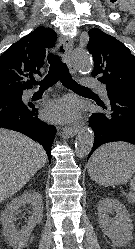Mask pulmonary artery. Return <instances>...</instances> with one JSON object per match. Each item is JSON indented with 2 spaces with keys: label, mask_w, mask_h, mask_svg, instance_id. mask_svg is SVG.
I'll list each match as a JSON object with an SVG mask.
<instances>
[{
  "label": "pulmonary artery",
  "mask_w": 135,
  "mask_h": 249,
  "mask_svg": "<svg viewBox=\"0 0 135 249\" xmlns=\"http://www.w3.org/2000/svg\"><path fill=\"white\" fill-rule=\"evenodd\" d=\"M84 85L87 86V87H93V88H97L101 95L107 99V91L106 89L104 88V86L102 84H100L99 82H97L96 80H94L93 78L91 77H87L85 80H84ZM35 91L34 90H30L28 91V95H31L33 92Z\"/></svg>",
  "instance_id": "1"
}]
</instances>
